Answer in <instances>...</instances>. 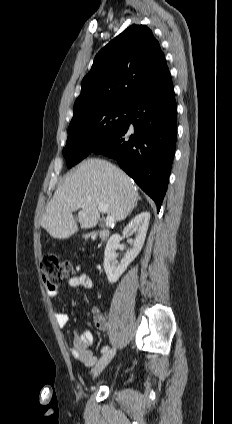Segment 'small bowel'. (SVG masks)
<instances>
[{"label":"small bowel","mask_w":232,"mask_h":424,"mask_svg":"<svg viewBox=\"0 0 232 424\" xmlns=\"http://www.w3.org/2000/svg\"><path fill=\"white\" fill-rule=\"evenodd\" d=\"M67 284L71 288L82 287L85 289H92L94 287V282L87 272H80L74 275L68 279ZM47 292L51 297H58L60 295L59 288L48 289ZM93 315L96 327L103 332L107 331L108 322L97 308L93 309ZM55 319L58 325L63 327L69 323L70 316L64 311H57L55 312ZM92 340L93 336L89 330H75L73 345L70 348V353L75 359L86 366H91L96 361V357L88 349Z\"/></svg>","instance_id":"1"}]
</instances>
